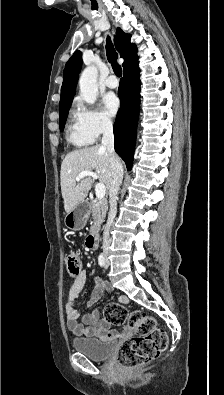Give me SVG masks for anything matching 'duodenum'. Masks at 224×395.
I'll use <instances>...</instances> for the list:
<instances>
[{
    "mask_svg": "<svg viewBox=\"0 0 224 395\" xmlns=\"http://www.w3.org/2000/svg\"><path fill=\"white\" fill-rule=\"evenodd\" d=\"M97 242H98V229L96 227H93V229L91 230L90 234L86 239V245L88 249L95 250L97 247Z\"/></svg>",
    "mask_w": 224,
    "mask_h": 395,
    "instance_id": "410a0bca",
    "label": "duodenum"
}]
</instances>
